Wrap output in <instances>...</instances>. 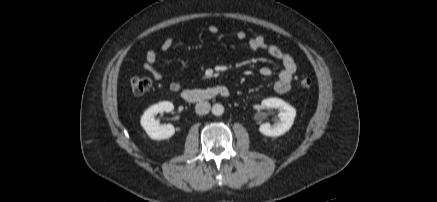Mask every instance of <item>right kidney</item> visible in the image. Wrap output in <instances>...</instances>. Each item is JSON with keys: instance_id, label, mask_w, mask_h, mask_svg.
<instances>
[{"instance_id": "right-kidney-1", "label": "right kidney", "mask_w": 437, "mask_h": 202, "mask_svg": "<svg viewBox=\"0 0 437 202\" xmlns=\"http://www.w3.org/2000/svg\"><path fill=\"white\" fill-rule=\"evenodd\" d=\"M174 105L171 102L163 101L149 107L141 117V126L151 139L163 140L169 139L175 133V128L171 124L161 125L155 119L158 113L171 112Z\"/></svg>"}]
</instances>
